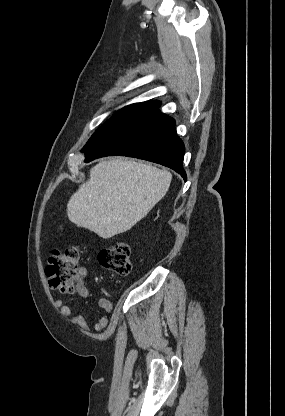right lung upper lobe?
I'll return each instance as SVG.
<instances>
[{
	"instance_id": "obj_1",
	"label": "right lung upper lobe",
	"mask_w": 285,
	"mask_h": 416,
	"mask_svg": "<svg viewBox=\"0 0 285 416\" xmlns=\"http://www.w3.org/2000/svg\"><path fill=\"white\" fill-rule=\"evenodd\" d=\"M151 103H155V104L160 105V102L159 101H152Z\"/></svg>"
}]
</instances>
